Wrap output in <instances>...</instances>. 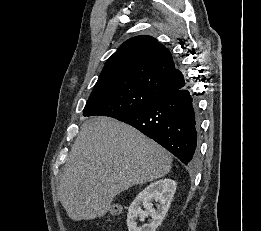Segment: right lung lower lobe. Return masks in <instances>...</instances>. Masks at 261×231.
Here are the masks:
<instances>
[{
    "mask_svg": "<svg viewBox=\"0 0 261 231\" xmlns=\"http://www.w3.org/2000/svg\"><path fill=\"white\" fill-rule=\"evenodd\" d=\"M194 95L190 90L181 88L117 119L162 145L185 165H193L198 154L200 131Z\"/></svg>",
    "mask_w": 261,
    "mask_h": 231,
    "instance_id": "obj_1",
    "label": "right lung lower lobe"
}]
</instances>
